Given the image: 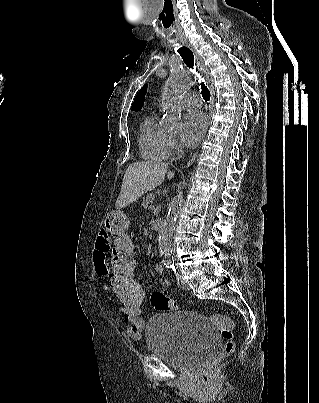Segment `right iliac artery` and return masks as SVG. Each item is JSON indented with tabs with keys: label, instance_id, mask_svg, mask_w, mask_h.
Returning <instances> with one entry per match:
<instances>
[{
	"label": "right iliac artery",
	"instance_id": "right-iliac-artery-1",
	"mask_svg": "<svg viewBox=\"0 0 319 403\" xmlns=\"http://www.w3.org/2000/svg\"><path fill=\"white\" fill-rule=\"evenodd\" d=\"M165 266H166L167 268H172V266H173V263H171V262H168V263H166V264H165Z\"/></svg>",
	"mask_w": 319,
	"mask_h": 403
}]
</instances>
